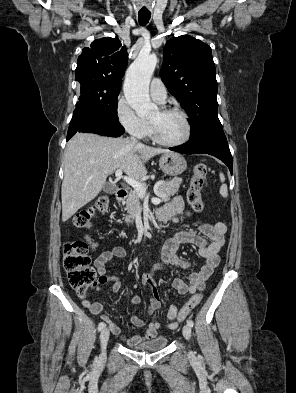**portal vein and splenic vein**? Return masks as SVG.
Segmentation results:
<instances>
[{"label":"portal vein and splenic vein","instance_id":"portal-vein-and-splenic-vein-1","mask_svg":"<svg viewBox=\"0 0 296 393\" xmlns=\"http://www.w3.org/2000/svg\"><path fill=\"white\" fill-rule=\"evenodd\" d=\"M122 169H118L115 172V176L117 178H122L127 184H129L130 186H132L134 188V190L138 193L139 196L144 197L146 195V186L140 182H138L137 180L127 177V176H123L122 175ZM153 202H160V199L158 198H153L152 199Z\"/></svg>","mask_w":296,"mask_h":393}]
</instances>
